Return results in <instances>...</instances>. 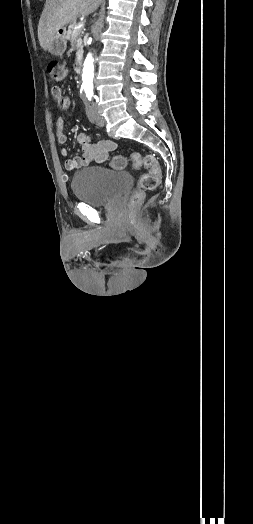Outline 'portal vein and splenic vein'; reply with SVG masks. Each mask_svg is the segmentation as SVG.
Segmentation results:
<instances>
[{"instance_id":"1","label":"portal vein and splenic vein","mask_w":253,"mask_h":524,"mask_svg":"<svg viewBox=\"0 0 253 524\" xmlns=\"http://www.w3.org/2000/svg\"><path fill=\"white\" fill-rule=\"evenodd\" d=\"M84 26V23H78L76 26H75V30H81Z\"/></svg>"}]
</instances>
